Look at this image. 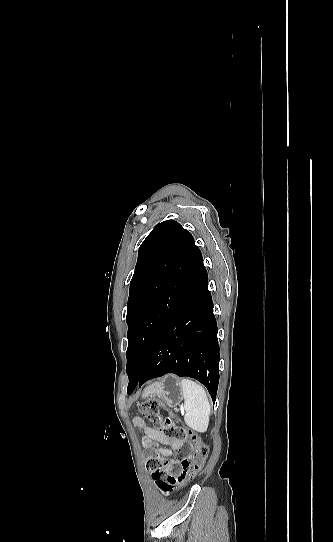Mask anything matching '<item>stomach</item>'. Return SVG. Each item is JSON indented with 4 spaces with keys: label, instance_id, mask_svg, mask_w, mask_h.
<instances>
[{
    "label": "stomach",
    "instance_id": "obj_1",
    "mask_svg": "<svg viewBox=\"0 0 333 542\" xmlns=\"http://www.w3.org/2000/svg\"><path fill=\"white\" fill-rule=\"evenodd\" d=\"M143 398H160L165 402L168 408H176L180 406L183 400V394L181 390V380L174 376V374H167L164 378H161L160 382H153L150 386L145 388Z\"/></svg>",
    "mask_w": 333,
    "mask_h": 542
}]
</instances>
